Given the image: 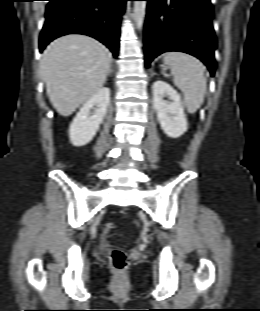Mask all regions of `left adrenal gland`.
<instances>
[{"instance_id": "obj_1", "label": "left adrenal gland", "mask_w": 260, "mask_h": 311, "mask_svg": "<svg viewBox=\"0 0 260 311\" xmlns=\"http://www.w3.org/2000/svg\"><path fill=\"white\" fill-rule=\"evenodd\" d=\"M153 75H156V73H155V72H152V76H153Z\"/></svg>"}]
</instances>
